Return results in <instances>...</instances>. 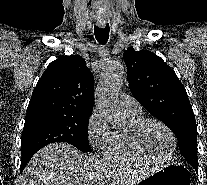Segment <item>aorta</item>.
Returning <instances> with one entry per match:
<instances>
[{"instance_id":"aorta-1","label":"aorta","mask_w":207,"mask_h":185,"mask_svg":"<svg viewBox=\"0 0 207 185\" xmlns=\"http://www.w3.org/2000/svg\"><path fill=\"white\" fill-rule=\"evenodd\" d=\"M125 68L118 61H111L102 68L101 76L95 90L96 107L114 127H122L125 115L118 105V93L123 82Z\"/></svg>"}]
</instances>
